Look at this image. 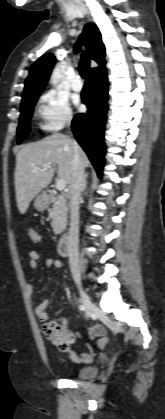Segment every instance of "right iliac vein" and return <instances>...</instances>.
Returning a JSON list of instances; mask_svg holds the SVG:
<instances>
[{"label": "right iliac vein", "mask_w": 165, "mask_h": 419, "mask_svg": "<svg viewBox=\"0 0 165 419\" xmlns=\"http://www.w3.org/2000/svg\"><path fill=\"white\" fill-rule=\"evenodd\" d=\"M75 283L79 290L81 301H82L83 306L85 307L86 314L89 317L94 309V304L91 301L90 297L87 295L86 291L84 290L80 279L77 278L75 280Z\"/></svg>", "instance_id": "63e3f726"}]
</instances>
